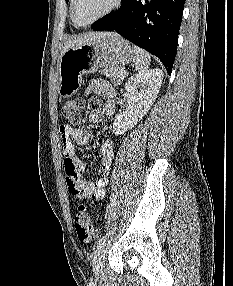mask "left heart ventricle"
<instances>
[{
  "label": "left heart ventricle",
  "instance_id": "b2bd125f",
  "mask_svg": "<svg viewBox=\"0 0 233 286\" xmlns=\"http://www.w3.org/2000/svg\"><path fill=\"white\" fill-rule=\"evenodd\" d=\"M114 0H77L75 6V17L78 22H89L107 9H109Z\"/></svg>",
  "mask_w": 233,
  "mask_h": 286
}]
</instances>
